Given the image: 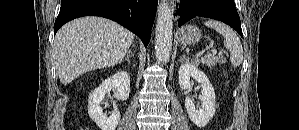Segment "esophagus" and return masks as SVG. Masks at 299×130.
Here are the masks:
<instances>
[{
	"label": "esophagus",
	"mask_w": 299,
	"mask_h": 130,
	"mask_svg": "<svg viewBox=\"0 0 299 130\" xmlns=\"http://www.w3.org/2000/svg\"><path fill=\"white\" fill-rule=\"evenodd\" d=\"M172 18L176 21L179 18V1L170 0Z\"/></svg>",
	"instance_id": "obj_1"
}]
</instances>
